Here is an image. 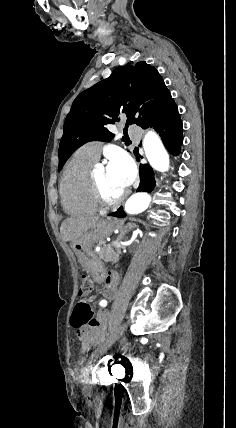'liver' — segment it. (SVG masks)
<instances>
[{
	"label": "liver",
	"mask_w": 236,
	"mask_h": 428,
	"mask_svg": "<svg viewBox=\"0 0 236 428\" xmlns=\"http://www.w3.org/2000/svg\"><path fill=\"white\" fill-rule=\"evenodd\" d=\"M99 218L96 216H79V218H67L61 224L60 234L64 242H76L85 232H88L92 226L98 224Z\"/></svg>",
	"instance_id": "6515ba94"
}]
</instances>
